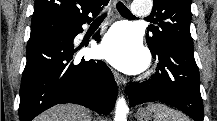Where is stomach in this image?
Listing matches in <instances>:
<instances>
[{"mask_svg": "<svg viewBox=\"0 0 217 121\" xmlns=\"http://www.w3.org/2000/svg\"><path fill=\"white\" fill-rule=\"evenodd\" d=\"M137 117L139 121H151L152 114L148 109L140 108L137 111Z\"/></svg>", "mask_w": 217, "mask_h": 121, "instance_id": "obj_1", "label": "stomach"}]
</instances>
